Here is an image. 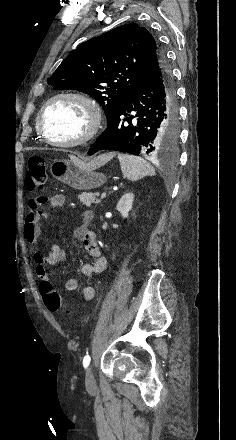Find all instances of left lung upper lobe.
<instances>
[{
  "mask_svg": "<svg viewBox=\"0 0 236 440\" xmlns=\"http://www.w3.org/2000/svg\"><path fill=\"white\" fill-rule=\"evenodd\" d=\"M160 54H164L160 44L146 28L125 24L80 44L48 84L89 94L103 107L109 123L136 88L151 58Z\"/></svg>",
  "mask_w": 236,
  "mask_h": 440,
  "instance_id": "1",
  "label": "left lung upper lobe"
}]
</instances>
